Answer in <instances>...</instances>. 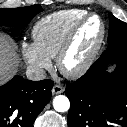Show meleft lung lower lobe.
Listing matches in <instances>:
<instances>
[{"label": "left lung lower lobe", "instance_id": "0a47b994", "mask_svg": "<svg viewBox=\"0 0 127 127\" xmlns=\"http://www.w3.org/2000/svg\"><path fill=\"white\" fill-rule=\"evenodd\" d=\"M111 62L117 67L110 73ZM65 93L71 103L68 127H127V41L108 46Z\"/></svg>", "mask_w": 127, "mask_h": 127}]
</instances>
